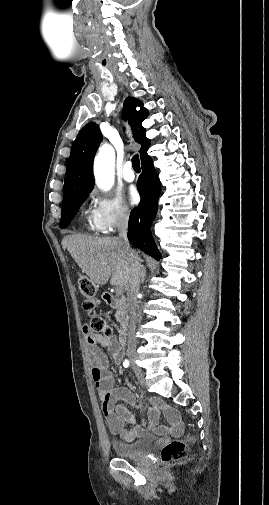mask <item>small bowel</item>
Listing matches in <instances>:
<instances>
[{"label":"small bowel","mask_w":269,"mask_h":505,"mask_svg":"<svg viewBox=\"0 0 269 505\" xmlns=\"http://www.w3.org/2000/svg\"><path fill=\"white\" fill-rule=\"evenodd\" d=\"M89 346V359L92 365V378L100 397L102 411L110 432L126 441L141 437L146 432L153 430L159 435L169 434L180 436L184 431V424L178 413L162 399H150L147 417L144 422L137 423L130 410L120 402H126L134 407L139 406L138 397L125 387L114 386V375L109 370V361L103 348L107 349L115 363L120 364L124 351L113 335H94L86 327L83 329ZM164 413L169 421V426L160 425L159 418ZM129 423L132 426L126 428Z\"/></svg>","instance_id":"obj_1"}]
</instances>
